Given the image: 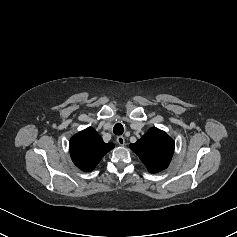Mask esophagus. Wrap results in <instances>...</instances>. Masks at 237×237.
Segmentation results:
<instances>
[{"instance_id": "34e87169", "label": "esophagus", "mask_w": 237, "mask_h": 237, "mask_svg": "<svg viewBox=\"0 0 237 237\" xmlns=\"http://www.w3.org/2000/svg\"><path fill=\"white\" fill-rule=\"evenodd\" d=\"M116 140H117V143L121 146L125 144V139L123 136H118Z\"/></svg>"}]
</instances>
